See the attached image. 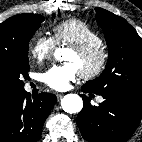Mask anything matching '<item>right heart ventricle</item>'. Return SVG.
<instances>
[{"instance_id":"e07e8e85","label":"right heart ventricle","mask_w":142,"mask_h":142,"mask_svg":"<svg viewBox=\"0 0 142 142\" xmlns=\"http://www.w3.org/2000/svg\"><path fill=\"white\" fill-rule=\"evenodd\" d=\"M56 43L69 46L103 43L102 37L89 24L80 19H68L53 27Z\"/></svg>"}]
</instances>
